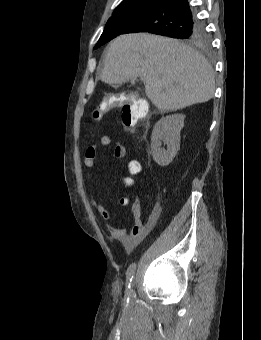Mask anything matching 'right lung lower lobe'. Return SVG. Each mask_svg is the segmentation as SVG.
I'll return each mask as SVG.
<instances>
[{
    "instance_id": "right-lung-lower-lobe-1",
    "label": "right lung lower lobe",
    "mask_w": 261,
    "mask_h": 340,
    "mask_svg": "<svg viewBox=\"0 0 261 340\" xmlns=\"http://www.w3.org/2000/svg\"><path fill=\"white\" fill-rule=\"evenodd\" d=\"M198 22L188 0H161L124 33L151 32L173 37L194 27Z\"/></svg>"
}]
</instances>
